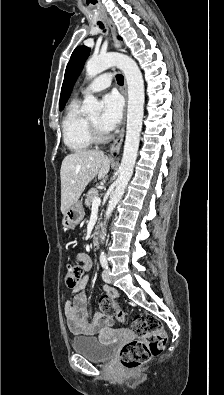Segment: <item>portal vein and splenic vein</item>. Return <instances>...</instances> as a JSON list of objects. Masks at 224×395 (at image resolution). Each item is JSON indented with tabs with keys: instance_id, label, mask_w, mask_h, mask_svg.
Here are the masks:
<instances>
[{
	"instance_id": "1",
	"label": "portal vein and splenic vein",
	"mask_w": 224,
	"mask_h": 395,
	"mask_svg": "<svg viewBox=\"0 0 224 395\" xmlns=\"http://www.w3.org/2000/svg\"><path fill=\"white\" fill-rule=\"evenodd\" d=\"M101 204V199L98 196H95L92 200V206L98 207Z\"/></svg>"
}]
</instances>
